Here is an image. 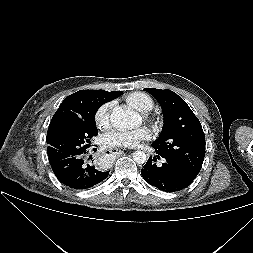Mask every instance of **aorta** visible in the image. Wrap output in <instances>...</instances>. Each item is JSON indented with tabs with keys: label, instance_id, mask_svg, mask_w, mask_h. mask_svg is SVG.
Instances as JSON below:
<instances>
[{
	"label": "aorta",
	"instance_id": "762f6f07",
	"mask_svg": "<svg viewBox=\"0 0 253 253\" xmlns=\"http://www.w3.org/2000/svg\"><path fill=\"white\" fill-rule=\"evenodd\" d=\"M110 121L117 129H132L138 125L139 116L129 108L116 107L111 113ZM133 160L137 164H143L147 160V155L143 151H135L133 153Z\"/></svg>",
	"mask_w": 253,
	"mask_h": 253
}]
</instances>
